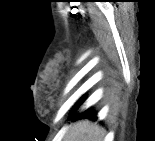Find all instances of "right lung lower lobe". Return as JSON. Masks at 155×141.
I'll list each match as a JSON object with an SVG mask.
<instances>
[{
  "mask_svg": "<svg viewBox=\"0 0 155 141\" xmlns=\"http://www.w3.org/2000/svg\"><path fill=\"white\" fill-rule=\"evenodd\" d=\"M77 118H91V119H96V113L93 112L92 110H86L84 112H82L81 114L76 115L75 117H73V119H77Z\"/></svg>",
  "mask_w": 155,
  "mask_h": 141,
  "instance_id": "obj_1",
  "label": "right lung lower lobe"
}]
</instances>
